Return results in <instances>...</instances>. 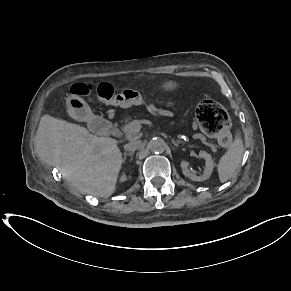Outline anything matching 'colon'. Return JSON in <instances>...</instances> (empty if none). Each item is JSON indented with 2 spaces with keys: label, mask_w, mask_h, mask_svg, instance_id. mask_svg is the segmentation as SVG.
Returning <instances> with one entry per match:
<instances>
[{
  "label": "colon",
  "mask_w": 291,
  "mask_h": 291,
  "mask_svg": "<svg viewBox=\"0 0 291 291\" xmlns=\"http://www.w3.org/2000/svg\"><path fill=\"white\" fill-rule=\"evenodd\" d=\"M71 92L78 96H87L95 93L97 98L105 103L115 105H140L145 103V99L132 90L118 92L116 88L108 83L102 82L96 87L77 83L71 87ZM167 104L174 108L176 99L169 97ZM196 118L201 130L208 136L214 137L223 146L231 144L230 117L225 108L214 100L206 99L199 103L196 109Z\"/></svg>",
  "instance_id": "colon-1"
}]
</instances>
